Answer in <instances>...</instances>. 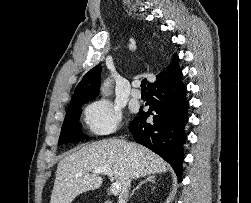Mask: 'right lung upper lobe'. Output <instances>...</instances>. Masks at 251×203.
<instances>
[{"instance_id": "1", "label": "right lung upper lobe", "mask_w": 251, "mask_h": 203, "mask_svg": "<svg viewBox=\"0 0 251 203\" xmlns=\"http://www.w3.org/2000/svg\"><path fill=\"white\" fill-rule=\"evenodd\" d=\"M178 64H179V57L177 54H175L170 64L156 76L157 78L156 82L160 81L165 75H167L170 72L172 68H174ZM100 74H101L100 64L96 65L94 68L88 71L84 75L80 83L77 85L70 104L83 101H90L94 99L99 92L100 81H101ZM152 84L153 83H148L147 88Z\"/></svg>"}]
</instances>
